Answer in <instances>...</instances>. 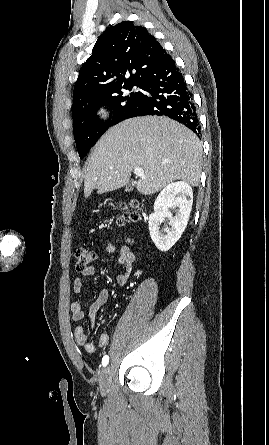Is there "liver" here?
I'll list each match as a JSON object with an SVG mask.
<instances>
[{"label": "liver", "instance_id": "6515ba94", "mask_svg": "<svg viewBox=\"0 0 269 445\" xmlns=\"http://www.w3.org/2000/svg\"><path fill=\"white\" fill-rule=\"evenodd\" d=\"M202 145L185 126L167 117L127 119L97 142L85 165L84 197L127 185L136 167L144 169L136 188L151 195L174 180L198 186Z\"/></svg>", "mask_w": 269, "mask_h": 445}]
</instances>
